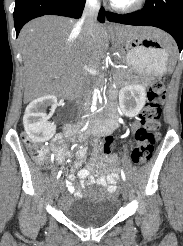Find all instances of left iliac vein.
<instances>
[{"label":"left iliac vein","mask_w":183,"mask_h":246,"mask_svg":"<svg viewBox=\"0 0 183 246\" xmlns=\"http://www.w3.org/2000/svg\"><path fill=\"white\" fill-rule=\"evenodd\" d=\"M121 192H122V196L123 198L126 200L129 197V190L127 185L123 184L122 188H121Z\"/></svg>","instance_id":"4c4485c4"}]
</instances>
